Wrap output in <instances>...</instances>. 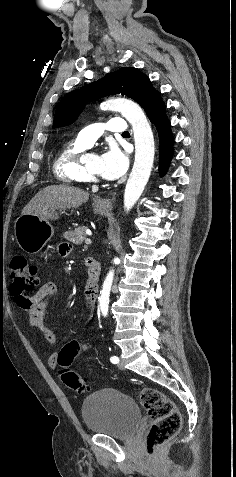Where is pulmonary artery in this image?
Returning a JSON list of instances; mask_svg holds the SVG:
<instances>
[{
  "label": "pulmonary artery",
  "instance_id": "e3ab8cb5",
  "mask_svg": "<svg viewBox=\"0 0 236 477\" xmlns=\"http://www.w3.org/2000/svg\"><path fill=\"white\" fill-rule=\"evenodd\" d=\"M103 131L123 134L128 131V126L122 118H111L106 123H96L85 127L78 133L76 141L90 147Z\"/></svg>",
  "mask_w": 236,
  "mask_h": 477
}]
</instances>
